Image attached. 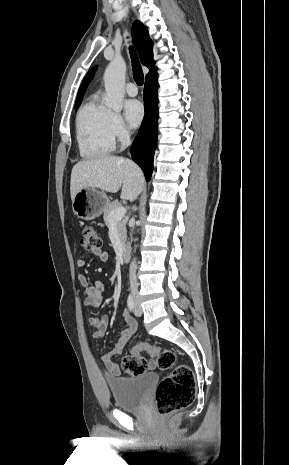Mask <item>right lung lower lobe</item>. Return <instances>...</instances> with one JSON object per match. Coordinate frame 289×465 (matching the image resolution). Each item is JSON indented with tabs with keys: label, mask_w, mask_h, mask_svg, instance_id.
<instances>
[{
	"label": "right lung lower lobe",
	"mask_w": 289,
	"mask_h": 465,
	"mask_svg": "<svg viewBox=\"0 0 289 465\" xmlns=\"http://www.w3.org/2000/svg\"><path fill=\"white\" fill-rule=\"evenodd\" d=\"M158 87L157 76L145 80V117L131 147L132 158L143 170L147 181L153 170V157L157 143Z\"/></svg>",
	"instance_id": "right-lung-lower-lobe-1"
}]
</instances>
